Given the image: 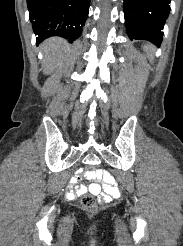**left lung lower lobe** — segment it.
<instances>
[{
	"instance_id": "left-lung-lower-lobe-1",
	"label": "left lung lower lobe",
	"mask_w": 183,
	"mask_h": 246,
	"mask_svg": "<svg viewBox=\"0 0 183 246\" xmlns=\"http://www.w3.org/2000/svg\"><path fill=\"white\" fill-rule=\"evenodd\" d=\"M171 0H124L126 32L130 39L162 42L163 26L170 13Z\"/></svg>"
}]
</instances>
